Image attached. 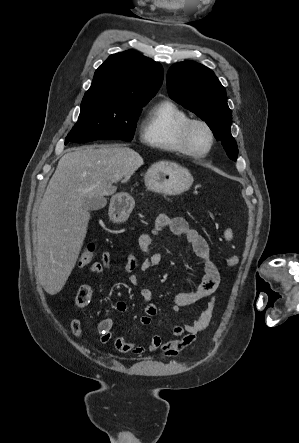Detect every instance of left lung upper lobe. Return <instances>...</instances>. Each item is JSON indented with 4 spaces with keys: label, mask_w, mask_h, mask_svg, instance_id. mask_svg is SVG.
<instances>
[{
    "label": "left lung upper lobe",
    "mask_w": 299,
    "mask_h": 443,
    "mask_svg": "<svg viewBox=\"0 0 299 443\" xmlns=\"http://www.w3.org/2000/svg\"><path fill=\"white\" fill-rule=\"evenodd\" d=\"M171 99L207 123L228 157L236 161L238 148L231 135V110L225 88L207 67L193 61L173 64L167 73Z\"/></svg>",
    "instance_id": "obj_1"
}]
</instances>
